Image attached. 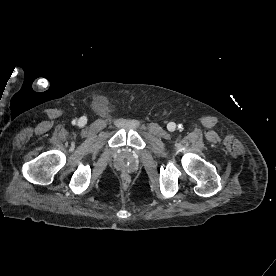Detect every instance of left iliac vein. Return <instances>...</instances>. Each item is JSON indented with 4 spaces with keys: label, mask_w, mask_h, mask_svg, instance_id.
Instances as JSON below:
<instances>
[{
    "label": "left iliac vein",
    "mask_w": 276,
    "mask_h": 276,
    "mask_svg": "<svg viewBox=\"0 0 276 276\" xmlns=\"http://www.w3.org/2000/svg\"><path fill=\"white\" fill-rule=\"evenodd\" d=\"M175 128H176V124H175V123L171 122V123L168 124V129H169L170 131H174Z\"/></svg>",
    "instance_id": "4c4485c4"
}]
</instances>
